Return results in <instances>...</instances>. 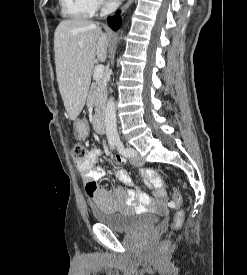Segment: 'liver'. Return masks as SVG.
<instances>
[{
    "label": "liver",
    "instance_id": "6515ba94",
    "mask_svg": "<svg viewBox=\"0 0 247 275\" xmlns=\"http://www.w3.org/2000/svg\"><path fill=\"white\" fill-rule=\"evenodd\" d=\"M108 35L84 19H66L54 33L55 66L59 91L70 120L82 111L88 94L95 57L104 62Z\"/></svg>",
    "mask_w": 247,
    "mask_h": 275
}]
</instances>
